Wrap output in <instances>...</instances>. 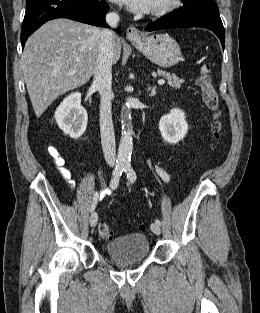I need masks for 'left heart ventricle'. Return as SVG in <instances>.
<instances>
[{"label":"left heart ventricle","mask_w":260,"mask_h":313,"mask_svg":"<svg viewBox=\"0 0 260 313\" xmlns=\"http://www.w3.org/2000/svg\"><path fill=\"white\" fill-rule=\"evenodd\" d=\"M166 0H154L152 8L162 5Z\"/></svg>","instance_id":"obj_1"}]
</instances>
